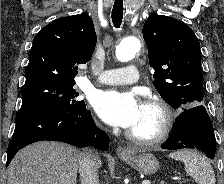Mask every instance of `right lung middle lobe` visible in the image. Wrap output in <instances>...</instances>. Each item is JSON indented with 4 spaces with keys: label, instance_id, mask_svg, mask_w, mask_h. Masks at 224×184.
I'll return each instance as SVG.
<instances>
[{
    "label": "right lung middle lobe",
    "instance_id": "1",
    "mask_svg": "<svg viewBox=\"0 0 224 184\" xmlns=\"http://www.w3.org/2000/svg\"><path fill=\"white\" fill-rule=\"evenodd\" d=\"M75 83L54 81H34L22 89V105L16 116V123L25 117L44 111H61L73 113L85 107L83 100L73 88Z\"/></svg>",
    "mask_w": 224,
    "mask_h": 184
}]
</instances>
